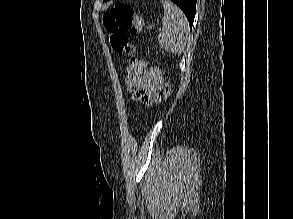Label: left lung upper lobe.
<instances>
[{
    "instance_id": "left-lung-upper-lobe-1",
    "label": "left lung upper lobe",
    "mask_w": 293,
    "mask_h": 219,
    "mask_svg": "<svg viewBox=\"0 0 293 219\" xmlns=\"http://www.w3.org/2000/svg\"><path fill=\"white\" fill-rule=\"evenodd\" d=\"M108 0H103V2H107Z\"/></svg>"
}]
</instances>
